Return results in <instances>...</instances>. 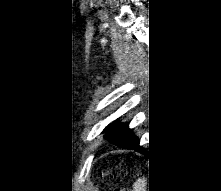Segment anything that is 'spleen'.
Returning a JSON list of instances; mask_svg holds the SVG:
<instances>
[{"mask_svg": "<svg viewBox=\"0 0 221 191\" xmlns=\"http://www.w3.org/2000/svg\"><path fill=\"white\" fill-rule=\"evenodd\" d=\"M147 188V179L145 177L139 178L133 184V191H146Z\"/></svg>", "mask_w": 221, "mask_h": 191, "instance_id": "3e777b00", "label": "spleen"}]
</instances>
